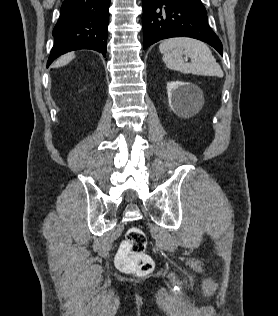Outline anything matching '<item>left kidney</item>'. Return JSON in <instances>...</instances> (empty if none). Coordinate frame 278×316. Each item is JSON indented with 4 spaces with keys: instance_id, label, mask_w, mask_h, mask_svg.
I'll list each match as a JSON object with an SVG mask.
<instances>
[{
    "instance_id": "1",
    "label": "left kidney",
    "mask_w": 278,
    "mask_h": 316,
    "mask_svg": "<svg viewBox=\"0 0 278 316\" xmlns=\"http://www.w3.org/2000/svg\"><path fill=\"white\" fill-rule=\"evenodd\" d=\"M167 93L169 106L177 113H185L198 107L202 102L200 88L189 82H168Z\"/></svg>"
}]
</instances>
